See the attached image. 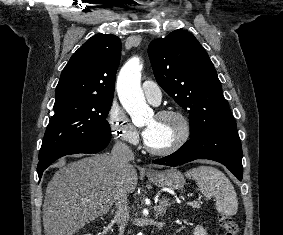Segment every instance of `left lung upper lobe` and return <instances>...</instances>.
<instances>
[{
  "instance_id": "5c2ea615",
  "label": "left lung upper lobe",
  "mask_w": 283,
  "mask_h": 235,
  "mask_svg": "<svg viewBox=\"0 0 283 235\" xmlns=\"http://www.w3.org/2000/svg\"><path fill=\"white\" fill-rule=\"evenodd\" d=\"M148 54L157 83L189 113L190 138L236 129L207 52L189 32L153 40Z\"/></svg>"
}]
</instances>
